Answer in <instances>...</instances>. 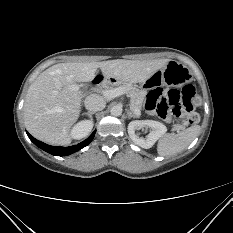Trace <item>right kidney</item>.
I'll return each mask as SVG.
<instances>
[{
  "instance_id": "1",
  "label": "right kidney",
  "mask_w": 233,
  "mask_h": 233,
  "mask_svg": "<svg viewBox=\"0 0 233 233\" xmlns=\"http://www.w3.org/2000/svg\"><path fill=\"white\" fill-rule=\"evenodd\" d=\"M93 128V120H83L77 123L71 130L73 139H82L86 137Z\"/></svg>"
}]
</instances>
